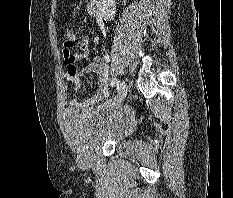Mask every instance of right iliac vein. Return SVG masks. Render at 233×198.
I'll return each instance as SVG.
<instances>
[{
    "instance_id": "63e3f726",
    "label": "right iliac vein",
    "mask_w": 233,
    "mask_h": 198,
    "mask_svg": "<svg viewBox=\"0 0 233 198\" xmlns=\"http://www.w3.org/2000/svg\"><path fill=\"white\" fill-rule=\"evenodd\" d=\"M126 95H127V86H126L125 82L123 81L121 84V88L118 92V95L113 102V105H115V106L121 105V103L126 98Z\"/></svg>"
}]
</instances>
